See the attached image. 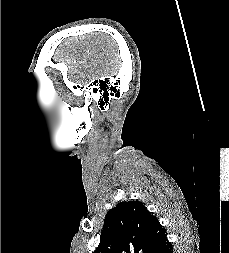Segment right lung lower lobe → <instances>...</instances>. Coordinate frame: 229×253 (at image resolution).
<instances>
[{"instance_id":"obj_1","label":"right lung lower lobe","mask_w":229,"mask_h":253,"mask_svg":"<svg viewBox=\"0 0 229 253\" xmlns=\"http://www.w3.org/2000/svg\"><path fill=\"white\" fill-rule=\"evenodd\" d=\"M155 253H173L172 244L167 240L155 251Z\"/></svg>"}]
</instances>
